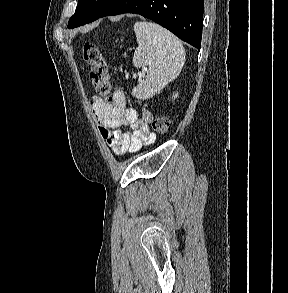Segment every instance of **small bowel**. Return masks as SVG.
<instances>
[{
    "instance_id": "small-bowel-1",
    "label": "small bowel",
    "mask_w": 288,
    "mask_h": 293,
    "mask_svg": "<svg viewBox=\"0 0 288 293\" xmlns=\"http://www.w3.org/2000/svg\"><path fill=\"white\" fill-rule=\"evenodd\" d=\"M91 108L102 138L116 155L136 153L155 142L156 136L149 127L152 114L143 109L139 118L137 110L128 106L123 91L115 90L109 101L92 97ZM124 126L132 132H123Z\"/></svg>"
}]
</instances>
